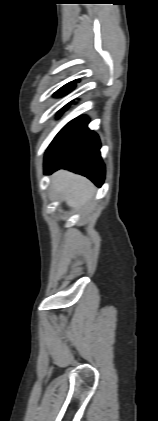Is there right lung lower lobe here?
I'll list each match as a JSON object with an SVG mask.
<instances>
[{
  "label": "right lung lower lobe",
  "instance_id": "right-lung-lower-lobe-1",
  "mask_svg": "<svg viewBox=\"0 0 158 421\" xmlns=\"http://www.w3.org/2000/svg\"><path fill=\"white\" fill-rule=\"evenodd\" d=\"M88 122L87 117H78L56 135L45 154V174L63 168L88 177L98 187L102 185L105 167L99 151L100 141L97 134L87 128Z\"/></svg>",
  "mask_w": 158,
  "mask_h": 421
}]
</instances>
